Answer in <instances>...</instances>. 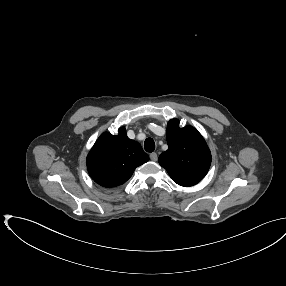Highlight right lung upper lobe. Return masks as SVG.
I'll list each match as a JSON object with an SVG mask.
<instances>
[{
  "label": "right lung upper lobe",
  "instance_id": "1",
  "mask_svg": "<svg viewBox=\"0 0 286 286\" xmlns=\"http://www.w3.org/2000/svg\"><path fill=\"white\" fill-rule=\"evenodd\" d=\"M149 156L140 144L127 137L124 127L118 135L105 132L90 150L86 162L91 178L105 188L124 184Z\"/></svg>",
  "mask_w": 286,
  "mask_h": 286
}]
</instances>
